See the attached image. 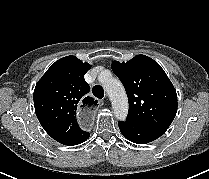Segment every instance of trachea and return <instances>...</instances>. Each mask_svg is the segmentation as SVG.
I'll use <instances>...</instances> for the list:
<instances>
[{
  "mask_svg": "<svg viewBox=\"0 0 209 179\" xmlns=\"http://www.w3.org/2000/svg\"><path fill=\"white\" fill-rule=\"evenodd\" d=\"M92 92H93L94 96H96L99 99L104 97V90L100 85H95L92 88Z\"/></svg>",
  "mask_w": 209,
  "mask_h": 179,
  "instance_id": "trachea-1",
  "label": "trachea"
}]
</instances>
